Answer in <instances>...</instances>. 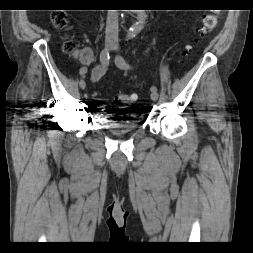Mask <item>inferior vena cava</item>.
I'll return each instance as SVG.
<instances>
[{
  "label": "inferior vena cava",
  "instance_id": "obj_1",
  "mask_svg": "<svg viewBox=\"0 0 253 253\" xmlns=\"http://www.w3.org/2000/svg\"><path fill=\"white\" fill-rule=\"evenodd\" d=\"M119 32V21L117 10H108L106 21V39H117Z\"/></svg>",
  "mask_w": 253,
  "mask_h": 253
}]
</instances>
